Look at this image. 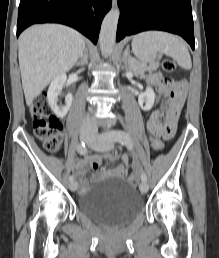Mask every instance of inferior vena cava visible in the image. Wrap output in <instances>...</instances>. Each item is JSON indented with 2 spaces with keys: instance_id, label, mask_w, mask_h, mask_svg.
Masks as SVG:
<instances>
[{
  "instance_id": "602c4592",
  "label": "inferior vena cava",
  "mask_w": 219,
  "mask_h": 258,
  "mask_svg": "<svg viewBox=\"0 0 219 258\" xmlns=\"http://www.w3.org/2000/svg\"><path fill=\"white\" fill-rule=\"evenodd\" d=\"M82 129L93 133L97 132V125L89 114L82 123Z\"/></svg>"
}]
</instances>
